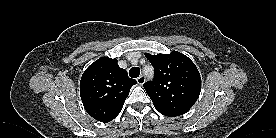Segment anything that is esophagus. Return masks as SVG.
Here are the masks:
<instances>
[{
    "label": "esophagus",
    "instance_id": "obj_1",
    "mask_svg": "<svg viewBox=\"0 0 276 138\" xmlns=\"http://www.w3.org/2000/svg\"><path fill=\"white\" fill-rule=\"evenodd\" d=\"M146 81V78L144 75H140L138 78H137V82L139 85H143Z\"/></svg>",
    "mask_w": 276,
    "mask_h": 138
}]
</instances>
